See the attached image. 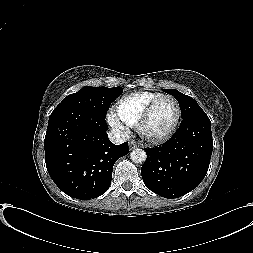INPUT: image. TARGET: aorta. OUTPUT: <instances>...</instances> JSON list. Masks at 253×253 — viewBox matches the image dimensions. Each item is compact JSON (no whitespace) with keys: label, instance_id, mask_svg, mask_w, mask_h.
<instances>
[{"label":"aorta","instance_id":"762f6f07","mask_svg":"<svg viewBox=\"0 0 253 253\" xmlns=\"http://www.w3.org/2000/svg\"><path fill=\"white\" fill-rule=\"evenodd\" d=\"M146 152L143 149H134L130 153V159L134 163L142 164L146 161Z\"/></svg>","mask_w":253,"mask_h":253}]
</instances>
